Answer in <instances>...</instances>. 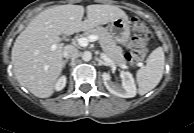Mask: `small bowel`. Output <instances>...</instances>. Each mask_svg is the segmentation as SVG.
Instances as JSON below:
<instances>
[{"label": "small bowel", "mask_w": 194, "mask_h": 133, "mask_svg": "<svg viewBox=\"0 0 194 133\" xmlns=\"http://www.w3.org/2000/svg\"><path fill=\"white\" fill-rule=\"evenodd\" d=\"M145 41L142 39L133 38L129 43V46L135 47L138 52L141 54H146L148 52V47L144 45Z\"/></svg>", "instance_id": "obj_1"}]
</instances>
